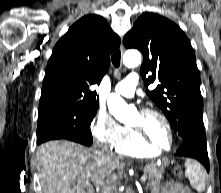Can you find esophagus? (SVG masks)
Here are the masks:
<instances>
[{
	"label": "esophagus",
	"instance_id": "1",
	"mask_svg": "<svg viewBox=\"0 0 221 193\" xmlns=\"http://www.w3.org/2000/svg\"><path fill=\"white\" fill-rule=\"evenodd\" d=\"M120 51L123 53L124 52V45L123 43L121 42V45H120Z\"/></svg>",
	"mask_w": 221,
	"mask_h": 193
}]
</instances>
